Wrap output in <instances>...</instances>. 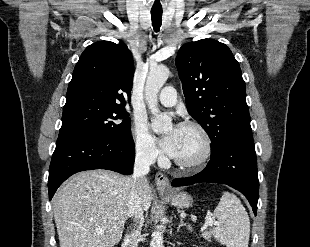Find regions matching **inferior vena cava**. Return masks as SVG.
I'll return each mask as SVG.
<instances>
[{
  "instance_id": "602c4592",
  "label": "inferior vena cava",
  "mask_w": 310,
  "mask_h": 247,
  "mask_svg": "<svg viewBox=\"0 0 310 247\" xmlns=\"http://www.w3.org/2000/svg\"><path fill=\"white\" fill-rule=\"evenodd\" d=\"M157 154L150 145L138 146L136 148L133 174L128 179L129 196L127 216L134 217L137 222L134 228L125 236V243L128 247H138L141 240V230L144 223L143 206L141 199L142 188L147 184L146 175L150 172V166L156 160Z\"/></svg>"
}]
</instances>
